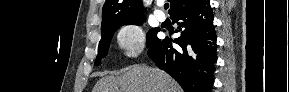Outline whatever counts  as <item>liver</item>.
Here are the masks:
<instances>
[{
	"label": "liver",
	"mask_w": 289,
	"mask_h": 92,
	"mask_svg": "<svg viewBox=\"0 0 289 92\" xmlns=\"http://www.w3.org/2000/svg\"><path fill=\"white\" fill-rule=\"evenodd\" d=\"M93 92H181V88L160 69L133 65L121 75L101 78Z\"/></svg>",
	"instance_id": "6515ba94"
}]
</instances>
